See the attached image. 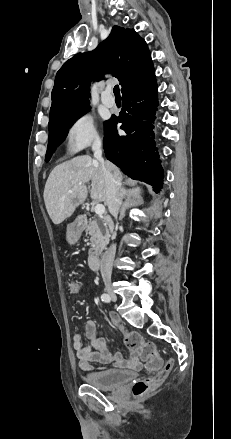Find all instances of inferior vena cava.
Masks as SVG:
<instances>
[{
	"mask_svg": "<svg viewBox=\"0 0 231 439\" xmlns=\"http://www.w3.org/2000/svg\"><path fill=\"white\" fill-rule=\"evenodd\" d=\"M92 150L94 152V157L96 158V160H98V162L101 164L103 169V174H104L106 189H107L109 211L112 214V216L116 218L121 205V200L119 198V192H118V181L112 173L111 163L105 162L102 157L101 142L96 141L93 144ZM115 252H116V245L112 244L101 257L100 271L102 278L105 281H109L111 279L112 265L115 257Z\"/></svg>",
	"mask_w": 231,
	"mask_h": 439,
	"instance_id": "602c4592",
	"label": "inferior vena cava"
}]
</instances>
